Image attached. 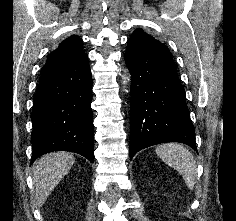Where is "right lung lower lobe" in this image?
Returning a JSON list of instances; mask_svg holds the SVG:
<instances>
[{"mask_svg": "<svg viewBox=\"0 0 236 221\" xmlns=\"http://www.w3.org/2000/svg\"><path fill=\"white\" fill-rule=\"evenodd\" d=\"M92 76L85 58L42 71L33 100L32 163L53 151H70L94 162Z\"/></svg>", "mask_w": 236, "mask_h": 221, "instance_id": "98d812e1", "label": "right lung lower lobe"}]
</instances>
